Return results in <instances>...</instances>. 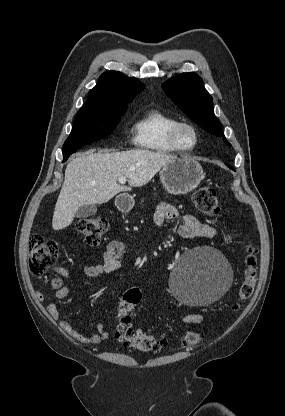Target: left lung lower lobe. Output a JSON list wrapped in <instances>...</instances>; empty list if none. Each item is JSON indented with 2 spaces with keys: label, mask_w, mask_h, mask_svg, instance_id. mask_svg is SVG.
Listing matches in <instances>:
<instances>
[{
  "label": "left lung lower lobe",
  "mask_w": 285,
  "mask_h": 416,
  "mask_svg": "<svg viewBox=\"0 0 285 416\" xmlns=\"http://www.w3.org/2000/svg\"><path fill=\"white\" fill-rule=\"evenodd\" d=\"M230 169L234 170L229 164H226Z\"/></svg>",
  "instance_id": "1"
}]
</instances>
